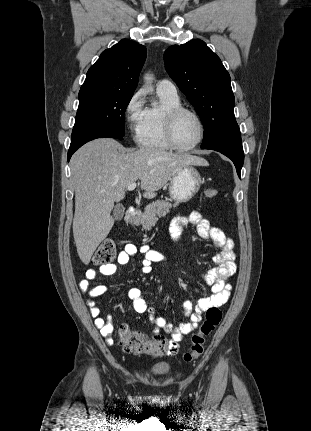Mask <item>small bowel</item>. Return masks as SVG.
<instances>
[{
    "instance_id": "small-bowel-1",
    "label": "small bowel",
    "mask_w": 311,
    "mask_h": 431,
    "mask_svg": "<svg viewBox=\"0 0 311 431\" xmlns=\"http://www.w3.org/2000/svg\"><path fill=\"white\" fill-rule=\"evenodd\" d=\"M188 224L195 225L201 238L210 240L216 248L220 249L213 257V267L203 275L204 281L211 285V293L203 296L194 310L190 302H185L184 310L187 319L177 327H174L164 318L156 316V310L148 306L140 289L131 288L127 293V298L132 302L134 311L138 314H147L157 329L171 334L175 343L180 342L185 334L197 327L203 312L211 307H220L228 301L231 286L227 280L236 271L234 242L226 237L221 229L211 226L209 221L198 211H192L188 215L178 214L171 220L169 230L174 241L180 239L184 226ZM138 252L142 254L141 269L145 274L152 271L153 264L166 260L161 252L152 250L148 246H142L138 249L133 243H127L118 254L117 263L102 265L98 270L88 269L85 273V279L79 283L82 293L86 295V305L94 318L95 326L108 344H113V326L110 319L105 320L100 316L101 311L95 300L107 291V287L105 285L91 287L89 281L99 276L114 275L118 266L126 265L130 258Z\"/></svg>"
}]
</instances>
